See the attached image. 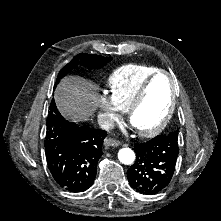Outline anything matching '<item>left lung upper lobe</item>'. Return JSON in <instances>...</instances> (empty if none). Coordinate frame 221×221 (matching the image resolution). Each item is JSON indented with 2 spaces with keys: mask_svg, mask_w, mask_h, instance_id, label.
<instances>
[{
  "mask_svg": "<svg viewBox=\"0 0 221 221\" xmlns=\"http://www.w3.org/2000/svg\"><path fill=\"white\" fill-rule=\"evenodd\" d=\"M168 135L173 136V137H178V130H176Z\"/></svg>",
  "mask_w": 221,
  "mask_h": 221,
  "instance_id": "obj_1",
  "label": "left lung upper lobe"
}]
</instances>
